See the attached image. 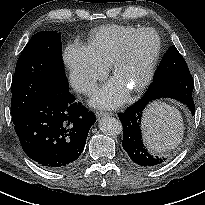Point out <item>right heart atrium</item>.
<instances>
[{
	"instance_id": "1",
	"label": "right heart atrium",
	"mask_w": 205,
	"mask_h": 205,
	"mask_svg": "<svg viewBox=\"0 0 205 205\" xmlns=\"http://www.w3.org/2000/svg\"><path fill=\"white\" fill-rule=\"evenodd\" d=\"M64 63L69 70L71 83L84 94L92 93L107 72L106 66L98 62L87 47L76 42L67 45Z\"/></svg>"
}]
</instances>
